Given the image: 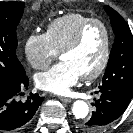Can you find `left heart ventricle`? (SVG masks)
Returning <instances> with one entry per match:
<instances>
[{"label": "left heart ventricle", "instance_id": "1", "mask_svg": "<svg viewBox=\"0 0 133 133\" xmlns=\"http://www.w3.org/2000/svg\"><path fill=\"white\" fill-rule=\"evenodd\" d=\"M105 44V34L98 25L87 29L84 37L74 50L64 53L62 60L71 62L81 75L93 71L101 61Z\"/></svg>", "mask_w": 133, "mask_h": 133}]
</instances>
